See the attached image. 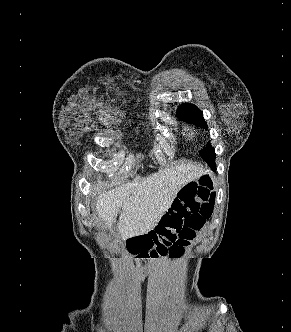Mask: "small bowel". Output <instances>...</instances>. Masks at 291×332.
Instances as JSON below:
<instances>
[{
  "label": "small bowel",
  "instance_id": "c3829d8e",
  "mask_svg": "<svg viewBox=\"0 0 291 332\" xmlns=\"http://www.w3.org/2000/svg\"><path fill=\"white\" fill-rule=\"evenodd\" d=\"M193 188H197V185L193 182H189L187 184H185L180 191H183V190H190V189H193Z\"/></svg>",
  "mask_w": 291,
  "mask_h": 332
}]
</instances>
